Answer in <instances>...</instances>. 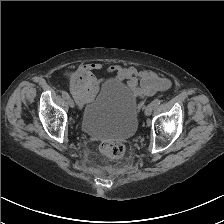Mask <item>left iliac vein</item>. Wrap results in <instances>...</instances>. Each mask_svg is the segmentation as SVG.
<instances>
[{
    "label": "left iliac vein",
    "mask_w": 224,
    "mask_h": 224,
    "mask_svg": "<svg viewBox=\"0 0 224 224\" xmlns=\"http://www.w3.org/2000/svg\"><path fill=\"white\" fill-rule=\"evenodd\" d=\"M154 109H155V108H154L153 104H152V103L149 104V105L146 107V109H145V115H146V116H150V115L152 114V112H153Z\"/></svg>",
    "instance_id": "left-iliac-vein-1"
}]
</instances>
